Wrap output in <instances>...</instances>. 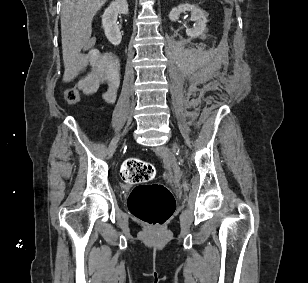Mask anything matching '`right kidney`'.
<instances>
[{
    "label": "right kidney",
    "mask_w": 308,
    "mask_h": 283,
    "mask_svg": "<svg viewBox=\"0 0 308 283\" xmlns=\"http://www.w3.org/2000/svg\"><path fill=\"white\" fill-rule=\"evenodd\" d=\"M118 14H128V3L126 0L113 1L102 15V27L105 36L110 43L117 46L121 43L122 35L118 26Z\"/></svg>",
    "instance_id": "right-kidney-1"
}]
</instances>
